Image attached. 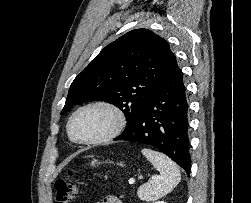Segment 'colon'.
<instances>
[{
  "label": "colon",
  "mask_w": 251,
  "mask_h": 203,
  "mask_svg": "<svg viewBox=\"0 0 251 203\" xmlns=\"http://www.w3.org/2000/svg\"><path fill=\"white\" fill-rule=\"evenodd\" d=\"M59 179L55 183V203H72L78 194V187L71 177Z\"/></svg>",
  "instance_id": "obj_1"
}]
</instances>
